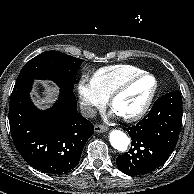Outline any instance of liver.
<instances>
[{
    "instance_id": "obj_1",
    "label": "liver",
    "mask_w": 194,
    "mask_h": 194,
    "mask_svg": "<svg viewBox=\"0 0 194 194\" xmlns=\"http://www.w3.org/2000/svg\"><path fill=\"white\" fill-rule=\"evenodd\" d=\"M58 88L55 86L47 85L43 91V97L37 101V105L42 108H49L50 105L56 100Z\"/></svg>"
}]
</instances>
